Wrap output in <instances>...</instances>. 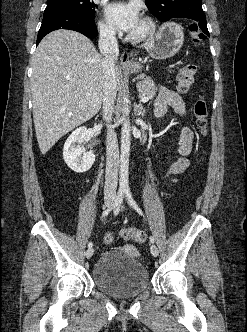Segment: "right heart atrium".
Listing matches in <instances>:
<instances>
[{
  "mask_svg": "<svg viewBox=\"0 0 247 332\" xmlns=\"http://www.w3.org/2000/svg\"><path fill=\"white\" fill-rule=\"evenodd\" d=\"M98 30L100 37L105 42H113L115 39V33L113 29L104 21L98 23Z\"/></svg>",
  "mask_w": 247,
  "mask_h": 332,
  "instance_id": "obj_1",
  "label": "right heart atrium"
}]
</instances>
